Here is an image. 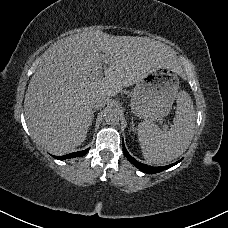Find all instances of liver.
<instances>
[{
  "mask_svg": "<svg viewBox=\"0 0 228 228\" xmlns=\"http://www.w3.org/2000/svg\"><path fill=\"white\" fill-rule=\"evenodd\" d=\"M105 63L106 77L96 73ZM181 74L172 48L150 38L83 32L57 43L32 76L24 99L26 124L33 141L52 154L81 146L94 120L91 95L110 102L151 71Z\"/></svg>",
  "mask_w": 228,
  "mask_h": 228,
  "instance_id": "6515ba94",
  "label": "liver"
}]
</instances>
